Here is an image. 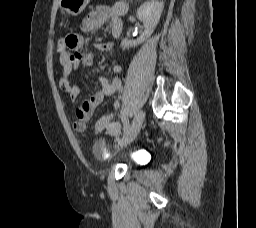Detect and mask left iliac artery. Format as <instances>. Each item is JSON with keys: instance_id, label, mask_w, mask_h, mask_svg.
<instances>
[{"instance_id": "obj_1", "label": "left iliac artery", "mask_w": 256, "mask_h": 228, "mask_svg": "<svg viewBox=\"0 0 256 228\" xmlns=\"http://www.w3.org/2000/svg\"><path fill=\"white\" fill-rule=\"evenodd\" d=\"M121 118L123 122V132L125 133L129 129L130 123H129V120L126 118L124 112L122 111H121Z\"/></svg>"}]
</instances>
